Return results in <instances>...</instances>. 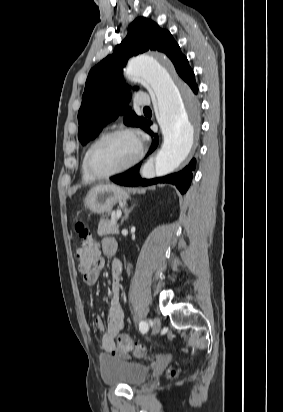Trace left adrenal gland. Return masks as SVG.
Masks as SVG:
<instances>
[{
	"label": "left adrenal gland",
	"instance_id": "left-adrenal-gland-1",
	"mask_svg": "<svg viewBox=\"0 0 283 412\" xmlns=\"http://www.w3.org/2000/svg\"><path fill=\"white\" fill-rule=\"evenodd\" d=\"M133 207L134 206H132L131 208H127V207H124V216H123V218H122V220H121V225L124 223V221H126L127 219H128V216H129V213L132 211V209H133Z\"/></svg>",
	"mask_w": 283,
	"mask_h": 412
}]
</instances>
